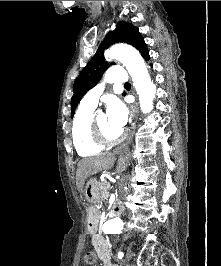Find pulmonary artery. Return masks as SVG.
Listing matches in <instances>:
<instances>
[{"instance_id": "obj_1", "label": "pulmonary artery", "mask_w": 221, "mask_h": 266, "mask_svg": "<svg viewBox=\"0 0 221 266\" xmlns=\"http://www.w3.org/2000/svg\"><path fill=\"white\" fill-rule=\"evenodd\" d=\"M127 75L125 70L120 65L110 67L108 72L105 74L103 81L93 87L83 97L81 104L86 107L95 108L97 106L100 95L105 89V84L110 82L123 83L126 82Z\"/></svg>"}]
</instances>
